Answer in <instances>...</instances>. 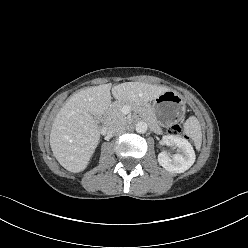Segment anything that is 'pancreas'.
Instances as JSON below:
<instances>
[{
    "label": "pancreas",
    "instance_id": "pancreas-1",
    "mask_svg": "<svg viewBox=\"0 0 248 248\" xmlns=\"http://www.w3.org/2000/svg\"><path fill=\"white\" fill-rule=\"evenodd\" d=\"M130 105V103H126V102H121V103H116L114 104V106L112 107V109L109 111L108 116L110 117V119L113 122H122L125 123L127 122V116L125 114L122 113V107L123 106H128ZM140 114L142 115V117L150 122L153 121V117H152V112L150 111V108H147L146 106L141 107L140 108Z\"/></svg>",
    "mask_w": 248,
    "mask_h": 248
}]
</instances>
